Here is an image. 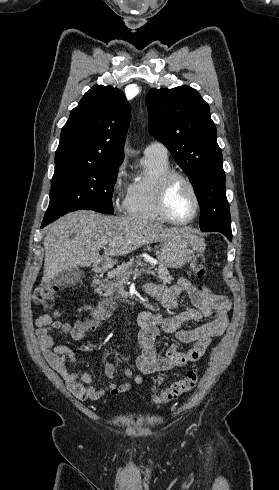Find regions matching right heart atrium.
<instances>
[{
  "label": "right heart atrium",
  "mask_w": 279,
  "mask_h": 490,
  "mask_svg": "<svg viewBox=\"0 0 279 490\" xmlns=\"http://www.w3.org/2000/svg\"><path fill=\"white\" fill-rule=\"evenodd\" d=\"M130 187L131 185L127 180L125 167L121 165L115 171L111 185L112 202L116 210L123 211L126 209Z\"/></svg>",
  "instance_id": "d8ad5b80"
}]
</instances>
